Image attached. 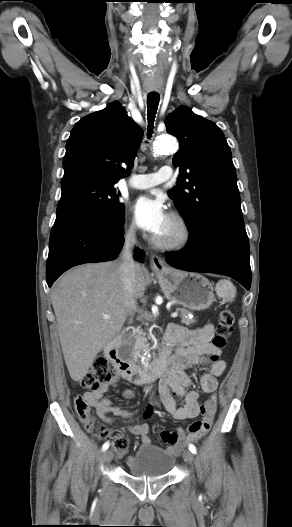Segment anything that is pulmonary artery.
<instances>
[{"instance_id": "e3ab8cb5", "label": "pulmonary artery", "mask_w": 292, "mask_h": 527, "mask_svg": "<svg viewBox=\"0 0 292 527\" xmlns=\"http://www.w3.org/2000/svg\"><path fill=\"white\" fill-rule=\"evenodd\" d=\"M171 176L172 168L170 166H162L155 173L132 176L128 181V185L135 189H147L169 180Z\"/></svg>"}]
</instances>
